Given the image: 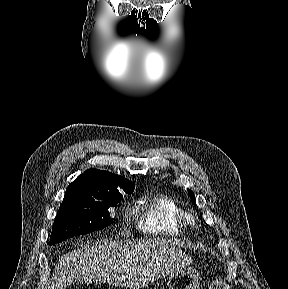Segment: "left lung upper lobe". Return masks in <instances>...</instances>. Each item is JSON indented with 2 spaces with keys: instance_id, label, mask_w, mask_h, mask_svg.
Returning a JSON list of instances; mask_svg holds the SVG:
<instances>
[{
  "instance_id": "obj_1",
  "label": "left lung upper lobe",
  "mask_w": 288,
  "mask_h": 289,
  "mask_svg": "<svg viewBox=\"0 0 288 289\" xmlns=\"http://www.w3.org/2000/svg\"><path fill=\"white\" fill-rule=\"evenodd\" d=\"M188 193H189V196L191 198V201H193L195 203L194 193L190 189H188Z\"/></svg>"
}]
</instances>
